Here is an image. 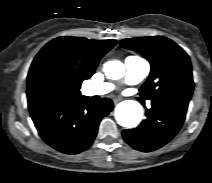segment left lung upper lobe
I'll return each mask as SVG.
<instances>
[{
    "instance_id": "5c2ea615",
    "label": "left lung upper lobe",
    "mask_w": 212,
    "mask_h": 183,
    "mask_svg": "<svg viewBox=\"0 0 212 183\" xmlns=\"http://www.w3.org/2000/svg\"><path fill=\"white\" fill-rule=\"evenodd\" d=\"M120 43L142 53L151 64L150 76L139 90L142 97L189 103L194 89L192 68L180 46L162 36L123 39Z\"/></svg>"
}]
</instances>
